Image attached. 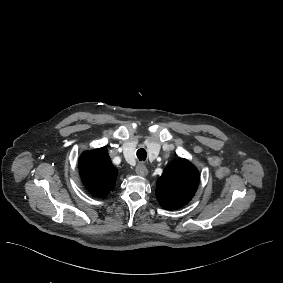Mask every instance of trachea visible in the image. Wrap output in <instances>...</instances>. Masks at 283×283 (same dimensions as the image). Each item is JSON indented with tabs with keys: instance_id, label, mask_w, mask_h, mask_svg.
<instances>
[{
	"instance_id": "3493384b",
	"label": "trachea",
	"mask_w": 283,
	"mask_h": 283,
	"mask_svg": "<svg viewBox=\"0 0 283 283\" xmlns=\"http://www.w3.org/2000/svg\"><path fill=\"white\" fill-rule=\"evenodd\" d=\"M146 157H147V152L144 148H140V149L137 150V158L140 161H145Z\"/></svg>"
}]
</instances>
